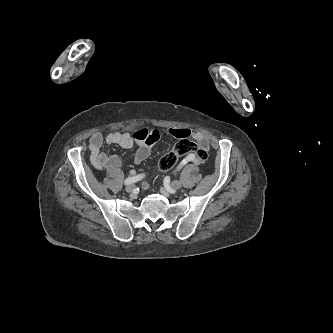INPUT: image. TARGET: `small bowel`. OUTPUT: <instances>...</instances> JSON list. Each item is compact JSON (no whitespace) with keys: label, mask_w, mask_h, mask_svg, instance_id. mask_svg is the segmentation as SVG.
Listing matches in <instances>:
<instances>
[{"label":"small bowel","mask_w":333,"mask_h":333,"mask_svg":"<svg viewBox=\"0 0 333 333\" xmlns=\"http://www.w3.org/2000/svg\"><path fill=\"white\" fill-rule=\"evenodd\" d=\"M166 133L175 138L192 137L202 148H209V139L197 130L188 128H169ZM162 135V132L156 129H140L134 133L112 132L106 137L99 132L93 133L89 138L90 161L97 170H107L114 172L120 165V161L115 155H108L101 151L104 142L111 145H118L122 148H132L137 146L134 156L136 164L144 162L151 154V146ZM195 162L193 155H189L184 160V163Z\"/></svg>","instance_id":"obj_1"}]
</instances>
